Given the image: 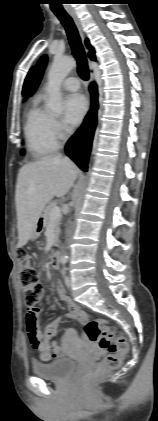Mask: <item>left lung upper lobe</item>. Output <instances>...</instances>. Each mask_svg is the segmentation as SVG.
Wrapping results in <instances>:
<instances>
[{"label":"left lung upper lobe","instance_id":"left-lung-upper-lobe-1","mask_svg":"<svg viewBox=\"0 0 158 421\" xmlns=\"http://www.w3.org/2000/svg\"><path fill=\"white\" fill-rule=\"evenodd\" d=\"M46 64H47V56L44 55L39 59V61L37 63L35 74L33 76L32 82H31L29 90H28V96L33 95V93L36 91V89H37V87L40 83L41 77L43 75V71L46 67Z\"/></svg>","mask_w":158,"mask_h":421}]
</instances>
